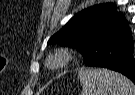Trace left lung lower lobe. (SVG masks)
<instances>
[{
  "label": "left lung lower lobe",
  "mask_w": 135,
  "mask_h": 95,
  "mask_svg": "<svg viewBox=\"0 0 135 95\" xmlns=\"http://www.w3.org/2000/svg\"><path fill=\"white\" fill-rule=\"evenodd\" d=\"M134 41L130 28L106 36L86 66L104 67L122 73L135 84Z\"/></svg>",
  "instance_id": "obj_1"
}]
</instances>
